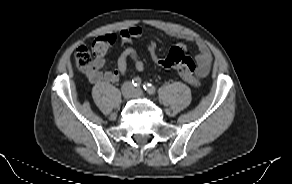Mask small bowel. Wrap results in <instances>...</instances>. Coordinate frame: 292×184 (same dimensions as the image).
Returning a JSON list of instances; mask_svg holds the SVG:
<instances>
[{"label": "small bowel", "mask_w": 292, "mask_h": 184, "mask_svg": "<svg viewBox=\"0 0 292 184\" xmlns=\"http://www.w3.org/2000/svg\"><path fill=\"white\" fill-rule=\"evenodd\" d=\"M143 30L140 26H132L120 31V39L123 44H130L134 39L141 37ZM186 40H192L189 36H181ZM184 49L183 44L177 45ZM198 53L196 55L197 71L196 74L199 77H205L211 68L212 57L208 47L200 41H196ZM131 59L134 62L137 71L144 70V63L138 56L136 50L132 47L125 48L117 59V67L113 71H102L105 65V59L103 56H98L94 60L93 68L87 72L89 81L93 84L99 83H115L118 82L122 76L125 75L128 67V60Z\"/></svg>", "instance_id": "c3829d8e"}]
</instances>
